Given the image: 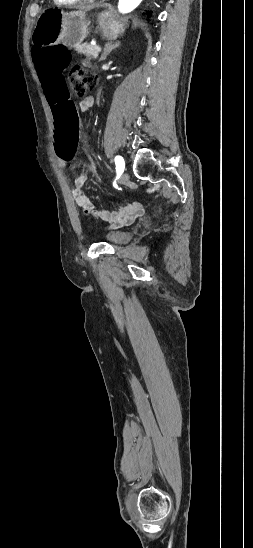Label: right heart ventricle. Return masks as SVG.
Instances as JSON below:
<instances>
[{
	"mask_svg": "<svg viewBox=\"0 0 253 548\" xmlns=\"http://www.w3.org/2000/svg\"><path fill=\"white\" fill-rule=\"evenodd\" d=\"M55 4L57 5H73V4H76L77 2L81 1V0H53Z\"/></svg>",
	"mask_w": 253,
	"mask_h": 548,
	"instance_id": "1",
	"label": "right heart ventricle"
}]
</instances>
